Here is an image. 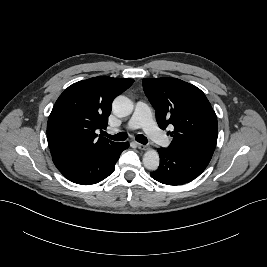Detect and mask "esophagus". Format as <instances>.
<instances>
[{
    "label": "esophagus",
    "instance_id": "esophagus-1",
    "mask_svg": "<svg viewBox=\"0 0 267 267\" xmlns=\"http://www.w3.org/2000/svg\"><path fill=\"white\" fill-rule=\"evenodd\" d=\"M137 147L140 150H148V146L144 144L137 143Z\"/></svg>",
    "mask_w": 267,
    "mask_h": 267
}]
</instances>
